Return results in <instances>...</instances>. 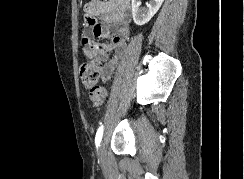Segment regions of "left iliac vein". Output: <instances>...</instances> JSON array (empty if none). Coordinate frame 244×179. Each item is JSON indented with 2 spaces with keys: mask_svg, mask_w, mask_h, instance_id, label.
Instances as JSON below:
<instances>
[{
  "mask_svg": "<svg viewBox=\"0 0 244 179\" xmlns=\"http://www.w3.org/2000/svg\"><path fill=\"white\" fill-rule=\"evenodd\" d=\"M106 142H107V137L105 136L98 148V155H99V159L101 161H106V159H107Z\"/></svg>",
  "mask_w": 244,
  "mask_h": 179,
  "instance_id": "obj_1",
  "label": "left iliac vein"
}]
</instances>
